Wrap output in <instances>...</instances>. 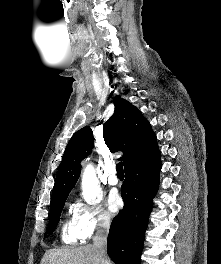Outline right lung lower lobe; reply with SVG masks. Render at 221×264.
Segmentation results:
<instances>
[{
  "label": "right lung lower lobe",
  "instance_id": "1",
  "mask_svg": "<svg viewBox=\"0 0 221 264\" xmlns=\"http://www.w3.org/2000/svg\"><path fill=\"white\" fill-rule=\"evenodd\" d=\"M160 170V152L145 163L125 169L121 187L124 207L113 219L107 239V253L115 264H140Z\"/></svg>",
  "mask_w": 221,
  "mask_h": 264
}]
</instances>
